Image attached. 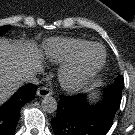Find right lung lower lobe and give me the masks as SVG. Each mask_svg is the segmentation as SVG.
Masks as SVG:
<instances>
[{"mask_svg": "<svg viewBox=\"0 0 135 135\" xmlns=\"http://www.w3.org/2000/svg\"><path fill=\"white\" fill-rule=\"evenodd\" d=\"M36 90L33 84L23 86L0 107V135L14 134L21 107L34 99Z\"/></svg>", "mask_w": 135, "mask_h": 135, "instance_id": "obj_1", "label": "right lung lower lobe"}]
</instances>
